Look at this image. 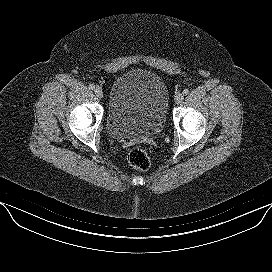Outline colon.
Wrapping results in <instances>:
<instances>
[{"label":"colon","mask_w":272,"mask_h":272,"mask_svg":"<svg viewBox=\"0 0 272 272\" xmlns=\"http://www.w3.org/2000/svg\"><path fill=\"white\" fill-rule=\"evenodd\" d=\"M129 163L140 171H146L150 168L151 161L147 152L141 148L135 147L128 152Z\"/></svg>","instance_id":"colon-1"}]
</instances>
